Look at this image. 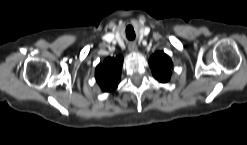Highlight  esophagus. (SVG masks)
I'll use <instances>...</instances> for the list:
<instances>
[{"instance_id":"obj_1","label":"esophagus","mask_w":247,"mask_h":145,"mask_svg":"<svg viewBox=\"0 0 247 145\" xmlns=\"http://www.w3.org/2000/svg\"><path fill=\"white\" fill-rule=\"evenodd\" d=\"M129 50L132 51V52L137 51V46H136V44L131 43V44L129 45Z\"/></svg>"}]
</instances>
